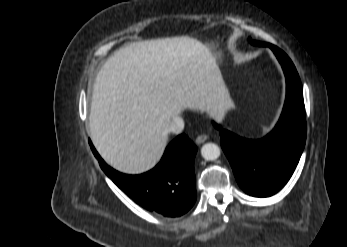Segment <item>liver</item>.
I'll use <instances>...</instances> for the list:
<instances>
[{
	"instance_id": "liver-1",
	"label": "liver",
	"mask_w": 347,
	"mask_h": 247,
	"mask_svg": "<svg viewBox=\"0 0 347 247\" xmlns=\"http://www.w3.org/2000/svg\"><path fill=\"white\" fill-rule=\"evenodd\" d=\"M232 102L208 46L187 36L133 42L97 74L90 134L102 158L127 174L153 168L168 127L189 108L221 119Z\"/></svg>"
}]
</instances>
